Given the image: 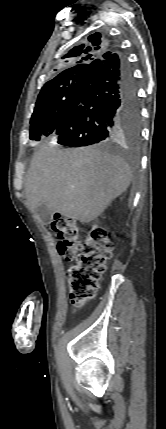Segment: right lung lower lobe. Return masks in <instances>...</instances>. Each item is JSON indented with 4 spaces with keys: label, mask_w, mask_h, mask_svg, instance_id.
Returning a JSON list of instances; mask_svg holds the SVG:
<instances>
[{
    "label": "right lung lower lobe",
    "mask_w": 166,
    "mask_h": 429,
    "mask_svg": "<svg viewBox=\"0 0 166 429\" xmlns=\"http://www.w3.org/2000/svg\"><path fill=\"white\" fill-rule=\"evenodd\" d=\"M140 126L137 83L127 58L105 53L91 62L53 133L67 146L108 143L120 129Z\"/></svg>",
    "instance_id": "obj_1"
}]
</instances>
